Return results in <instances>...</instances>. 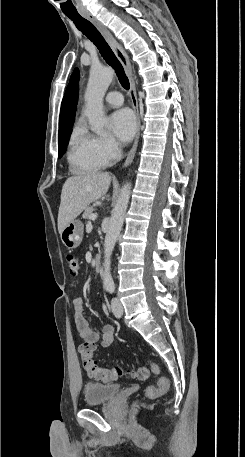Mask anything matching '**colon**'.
<instances>
[{
	"label": "colon",
	"mask_w": 245,
	"mask_h": 457,
	"mask_svg": "<svg viewBox=\"0 0 245 457\" xmlns=\"http://www.w3.org/2000/svg\"><path fill=\"white\" fill-rule=\"evenodd\" d=\"M66 262L68 265L69 273L72 277H77L80 272L79 263L76 256L72 253L66 255ZM95 346L92 343L84 342L78 348V355L81 363L82 370L90 377L103 381L112 382L123 376L125 373L132 375L140 381L148 380L151 372L159 374V367L149 362V366H140L132 370H124L122 368H102L100 367L95 358ZM169 387V380L166 377H160L157 386H150L146 389V396L155 397L165 392Z\"/></svg>",
	"instance_id": "colon-1"
}]
</instances>
